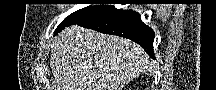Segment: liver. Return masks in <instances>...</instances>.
Returning <instances> with one entry per match:
<instances>
[{
  "label": "liver",
  "mask_w": 216,
  "mask_h": 90,
  "mask_svg": "<svg viewBox=\"0 0 216 90\" xmlns=\"http://www.w3.org/2000/svg\"><path fill=\"white\" fill-rule=\"evenodd\" d=\"M54 50L58 58L52 70L63 90H122L147 66L148 56L138 44L81 26L63 30Z\"/></svg>",
  "instance_id": "liver-1"
}]
</instances>
